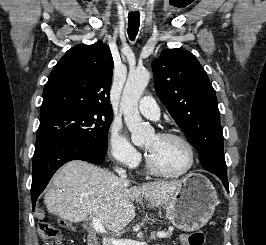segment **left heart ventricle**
Segmentation results:
<instances>
[{"instance_id":"b2bd125f","label":"left heart ventricle","mask_w":266,"mask_h":245,"mask_svg":"<svg viewBox=\"0 0 266 245\" xmlns=\"http://www.w3.org/2000/svg\"><path fill=\"white\" fill-rule=\"evenodd\" d=\"M145 145L152 164L162 173L179 174L188 165L189 152L181 141L153 135Z\"/></svg>"}]
</instances>
